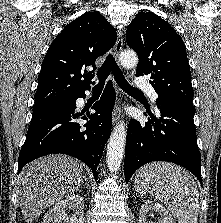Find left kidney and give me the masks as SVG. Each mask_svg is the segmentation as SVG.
Instances as JSON below:
<instances>
[{"label":"left kidney","mask_w":221,"mask_h":223,"mask_svg":"<svg viewBox=\"0 0 221 223\" xmlns=\"http://www.w3.org/2000/svg\"><path fill=\"white\" fill-rule=\"evenodd\" d=\"M150 211H155L160 215L159 223H176L171 214L159 203L147 200L140 208L139 223H153L147 217Z\"/></svg>","instance_id":"5707ae66"}]
</instances>
